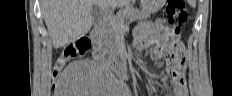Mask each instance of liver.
Returning a JSON list of instances; mask_svg holds the SVG:
<instances>
[{
    "label": "liver",
    "instance_id": "liver-1",
    "mask_svg": "<svg viewBox=\"0 0 232 96\" xmlns=\"http://www.w3.org/2000/svg\"><path fill=\"white\" fill-rule=\"evenodd\" d=\"M130 0H41L42 15L54 48L74 42L93 25L92 6L103 11L126 5Z\"/></svg>",
    "mask_w": 232,
    "mask_h": 96
}]
</instances>
